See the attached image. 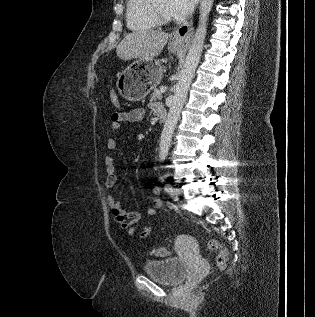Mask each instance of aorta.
Wrapping results in <instances>:
<instances>
[{"label": "aorta", "mask_w": 315, "mask_h": 317, "mask_svg": "<svg viewBox=\"0 0 315 317\" xmlns=\"http://www.w3.org/2000/svg\"><path fill=\"white\" fill-rule=\"evenodd\" d=\"M213 3L214 0L200 1L198 26L189 47L183 69L180 72L179 80L175 86L173 101L160 137L159 158L161 160H164L168 155L176 124L186 100L188 89L193 79L196 67L200 61L207 33L209 14L213 7Z\"/></svg>", "instance_id": "1"}]
</instances>
